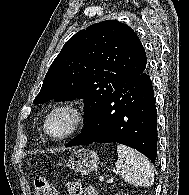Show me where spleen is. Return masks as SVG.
<instances>
[{
    "label": "spleen",
    "instance_id": "spleen-1",
    "mask_svg": "<svg viewBox=\"0 0 189 195\" xmlns=\"http://www.w3.org/2000/svg\"><path fill=\"white\" fill-rule=\"evenodd\" d=\"M116 168L128 184L150 187L154 182L153 167L150 161L136 150L125 145H117Z\"/></svg>",
    "mask_w": 189,
    "mask_h": 195
}]
</instances>
